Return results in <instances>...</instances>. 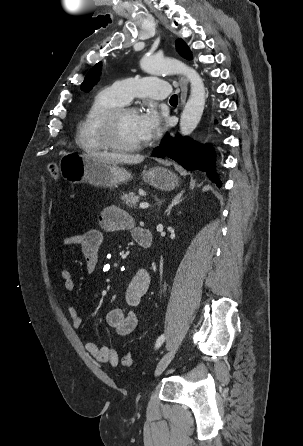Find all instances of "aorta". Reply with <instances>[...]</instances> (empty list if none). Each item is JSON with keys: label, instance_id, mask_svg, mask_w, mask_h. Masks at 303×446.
<instances>
[{"label": "aorta", "instance_id": "762f6f07", "mask_svg": "<svg viewBox=\"0 0 303 446\" xmlns=\"http://www.w3.org/2000/svg\"><path fill=\"white\" fill-rule=\"evenodd\" d=\"M143 71L149 74H183L190 82L191 94L180 118V132L190 135L197 127L205 106V87L196 70L186 64L169 58L145 56L140 62Z\"/></svg>", "mask_w": 303, "mask_h": 446}]
</instances>
